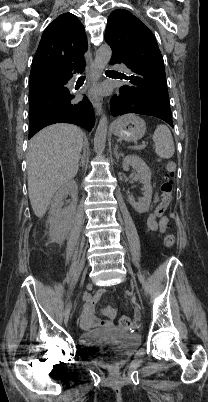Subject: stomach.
I'll return each instance as SVG.
<instances>
[{
  "mask_svg": "<svg viewBox=\"0 0 208 402\" xmlns=\"http://www.w3.org/2000/svg\"><path fill=\"white\" fill-rule=\"evenodd\" d=\"M111 130L114 136H118L120 140L137 142V140L143 138L146 132V124L136 114H125V116H121V118L115 120L111 126Z\"/></svg>",
  "mask_w": 208,
  "mask_h": 402,
  "instance_id": "obj_1",
  "label": "stomach"
}]
</instances>
